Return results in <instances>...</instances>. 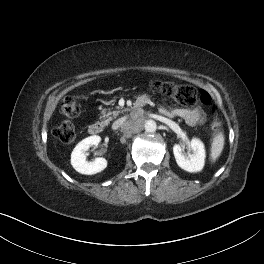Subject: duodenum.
<instances>
[{"instance_id":"duodenum-1","label":"duodenum","mask_w":264,"mask_h":264,"mask_svg":"<svg viewBox=\"0 0 264 264\" xmlns=\"http://www.w3.org/2000/svg\"><path fill=\"white\" fill-rule=\"evenodd\" d=\"M143 103H144V100H142V99L138 100L136 102L135 106L138 107V106L142 105ZM104 128H105L104 123L97 121V122H93L89 126L88 131L92 135H99L104 131Z\"/></svg>"}]
</instances>
